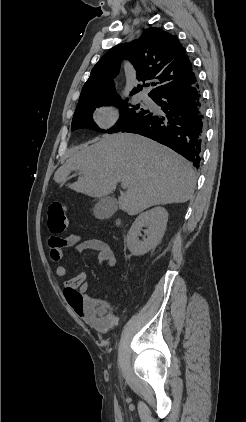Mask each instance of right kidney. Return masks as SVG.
<instances>
[{
	"label": "right kidney",
	"mask_w": 246,
	"mask_h": 422,
	"mask_svg": "<svg viewBox=\"0 0 246 422\" xmlns=\"http://www.w3.org/2000/svg\"><path fill=\"white\" fill-rule=\"evenodd\" d=\"M168 221V212L163 207H156L140 214L132 224L127 234V247L136 256H141L154 249L162 239ZM142 227L143 240H139ZM147 236V238H146Z\"/></svg>",
	"instance_id": "1"
}]
</instances>
